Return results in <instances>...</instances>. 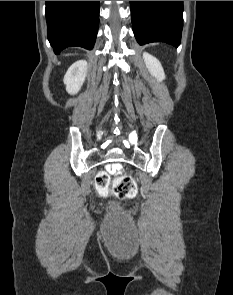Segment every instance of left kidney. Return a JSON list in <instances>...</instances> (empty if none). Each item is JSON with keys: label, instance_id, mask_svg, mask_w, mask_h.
I'll use <instances>...</instances> for the list:
<instances>
[{"label": "left kidney", "instance_id": "obj_1", "mask_svg": "<svg viewBox=\"0 0 233 295\" xmlns=\"http://www.w3.org/2000/svg\"><path fill=\"white\" fill-rule=\"evenodd\" d=\"M143 59L149 72L155 78H157V80L162 81L163 79H165L163 67L157 58H155L149 53L144 52Z\"/></svg>", "mask_w": 233, "mask_h": 295}]
</instances>
